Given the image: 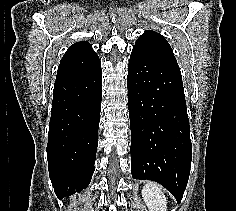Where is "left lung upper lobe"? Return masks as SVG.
I'll return each mask as SVG.
<instances>
[{
	"label": "left lung upper lobe",
	"mask_w": 236,
	"mask_h": 211,
	"mask_svg": "<svg viewBox=\"0 0 236 211\" xmlns=\"http://www.w3.org/2000/svg\"><path fill=\"white\" fill-rule=\"evenodd\" d=\"M133 49L141 50L155 57L170 60L177 64V60L166 39L154 31L148 30L141 35L135 42Z\"/></svg>",
	"instance_id": "left-lung-upper-lobe-1"
}]
</instances>
